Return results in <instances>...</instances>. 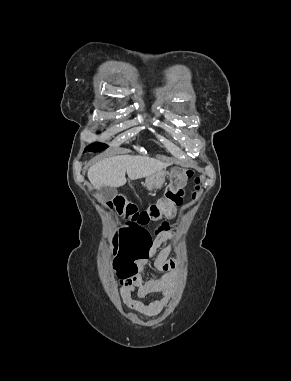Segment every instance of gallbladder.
Listing matches in <instances>:
<instances>
[{
  "label": "gallbladder",
  "mask_w": 291,
  "mask_h": 381,
  "mask_svg": "<svg viewBox=\"0 0 291 381\" xmlns=\"http://www.w3.org/2000/svg\"><path fill=\"white\" fill-rule=\"evenodd\" d=\"M100 199L102 202H109L115 198L117 195V189L114 187L104 186L98 191Z\"/></svg>",
  "instance_id": "1"
}]
</instances>
